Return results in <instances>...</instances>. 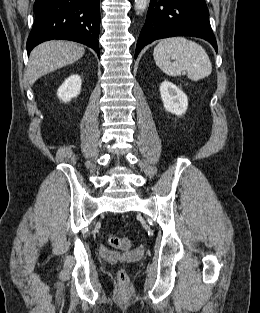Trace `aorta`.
<instances>
[{"mask_svg": "<svg viewBox=\"0 0 260 313\" xmlns=\"http://www.w3.org/2000/svg\"><path fill=\"white\" fill-rule=\"evenodd\" d=\"M149 0H135V9L139 12H144L147 8Z\"/></svg>", "mask_w": 260, "mask_h": 313, "instance_id": "aorta-1", "label": "aorta"}]
</instances>
